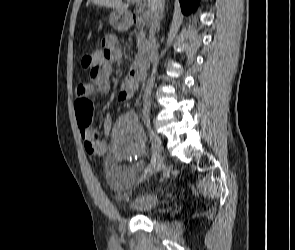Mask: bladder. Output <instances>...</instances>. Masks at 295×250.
<instances>
[{"label":"bladder","mask_w":295,"mask_h":250,"mask_svg":"<svg viewBox=\"0 0 295 250\" xmlns=\"http://www.w3.org/2000/svg\"><path fill=\"white\" fill-rule=\"evenodd\" d=\"M162 197L155 192H136L123 203L124 207L136 214H151L159 209Z\"/></svg>","instance_id":"obj_1"}]
</instances>
